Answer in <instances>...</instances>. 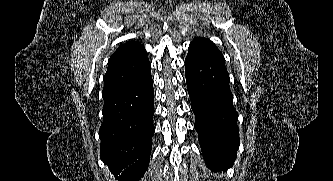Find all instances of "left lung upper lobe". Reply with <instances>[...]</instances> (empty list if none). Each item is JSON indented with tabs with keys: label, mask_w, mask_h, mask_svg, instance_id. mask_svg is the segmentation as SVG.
I'll list each match as a JSON object with an SVG mask.
<instances>
[{
	"label": "left lung upper lobe",
	"mask_w": 333,
	"mask_h": 181,
	"mask_svg": "<svg viewBox=\"0 0 333 181\" xmlns=\"http://www.w3.org/2000/svg\"><path fill=\"white\" fill-rule=\"evenodd\" d=\"M190 46L201 49L202 51L225 61L223 54L219 51V49L214 45L212 41L209 39L198 37L190 44Z\"/></svg>",
	"instance_id": "left-lung-upper-lobe-1"
}]
</instances>
